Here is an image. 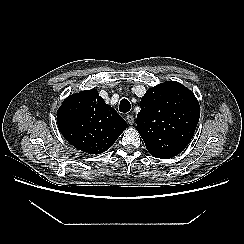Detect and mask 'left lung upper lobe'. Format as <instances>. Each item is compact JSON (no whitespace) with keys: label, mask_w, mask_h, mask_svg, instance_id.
<instances>
[{"label":"left lung upper lobe","mask_w":244,"mask_h":244,"mask_svg":"<svg viewBox=\"0 0 244 244\" xmlns=\"http://www.w3.org/2000/svg\"><path fill=\"white\" fill-rule=\"evenodd\" d=\"M137 130L149 153L172 158L190 143L200 117L194 94L184 85L167 81L149 88L141 99Z\"/></svg>","instance_id":"5c2ea615"}]
</instances>
